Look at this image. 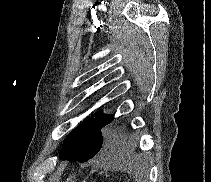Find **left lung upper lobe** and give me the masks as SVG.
<instances>
[{
    "mask_svg": "<svg viewBox=\"0 0 211 182\" xmlns=\"http://www.w3.org/2000/svg\"><path fill=\"white\" fill-rule=\"evenodd\" d=\"M114 120L113 115L96 112L72 130L59 153V158L85 162L93 158L108 143L107 133L102 129Z\"/></svg>",
    "mask_w": 211,
    "mask_h": 182,
    "instance_id": "left-lung-upper-lobe-1",
    "label": "left lung upper lobe"
}]
</instances>
